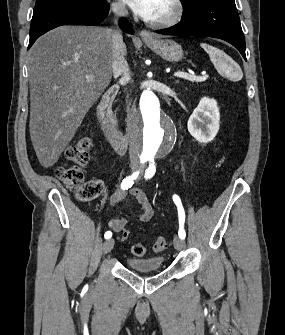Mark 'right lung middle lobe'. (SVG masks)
<instances>
[{"mask_svg":"<svg viewBox=\"0 0 285 335\" xmlns=\"http://www.w3.org/2000/svg\"><path fill=\"white\" fill-rule=\"evenodd\" d=\"M55 0H36V4L35 7H39L41 5L53 2ZM74 2H78V3H87V4H99V3H103L104 0H71Z\"/></svg>","mask_w":285,"mask_h":335,"instance_id":"obj_1","label":"right lung middle lobe"}]
</instances>
